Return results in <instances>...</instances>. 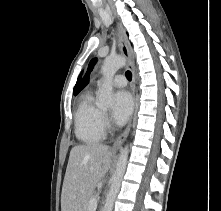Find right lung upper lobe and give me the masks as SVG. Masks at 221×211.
<instances>
[{"mask_svg":"<svg viewBox=\"0 0 221 211\" xmlns=\"http://www.w3.org/2000/svg\"><path fill=\"white\" fill-rule=\"evenodd\" d=\"M80 78H81V76H79V78H78V81H77V83H76V85H75V87H74V91L76 92L77 90H78V88H79V86H80Z\"/></svg>","mask_w":221,"mask_h":211,"instance_id":"right-lung-upper-lobe-1","label":"right lung upper lobe"}]
</instances>
